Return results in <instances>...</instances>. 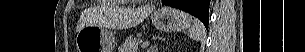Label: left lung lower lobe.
<instances>
[{"label":"left lung lower lobe","mask_w":305,"mask_h":52,"mask_svg":"<svg viewBox=\"0 0 305 52\" xmlns=\"http://www.w3.org/2000/svg\"><path fill=\"white\" fill-rule=\"evenodd\" d=\"M162 3L192 14L208 27L210 0H162Z\"/></svg>","instance_id":"obj_1"}]
</instances>
